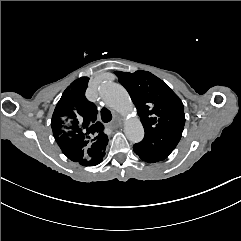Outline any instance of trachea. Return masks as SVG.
Wrapping results in <instances>:
<instances>
[{
    "label": "trachea",
    "mask_w": 241,
    "mask_h": 241,
    "mask_svg": "<svg viewBox=\"0 0 241 241\" xmlns=\"http://www.w3.org/2000/svg\"><path fill=\"white\" fill-rule=\"evenodd\" d=\"M101 119L104 123H108L112 119V114L107 108H102L101 110Z\"/></svg>",
    "instance_id": "1"
}]
</instances>
